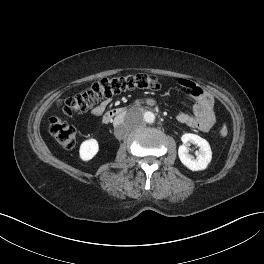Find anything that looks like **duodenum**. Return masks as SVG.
<instances>
[{
    "label": "duodenum",
    "instance_id": "1",
    "mask_svg": "<svg viewBox=\"0 0 264 264\" xmlns=\"http://www.w3.org/2000/svg\"><path fill=\"white\" fill-rule=\"evenodd\" d=\"M125 112H126V109L124 107L112 108L105 113L103 117V121L105 123H108L112 121L115 117L125 114Z\"/></svg>",
    "mask_w": 264,
    "mask_h": 264
}]
</instances>
